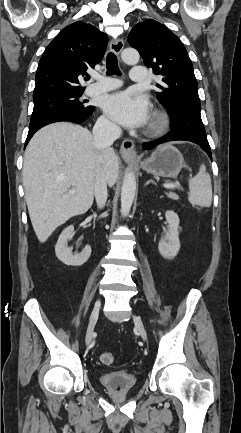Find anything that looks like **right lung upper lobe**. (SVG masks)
I'll return each instance as SVG.
<instances>
[{"instance_id": "cb5924a9", "label": "right lung upper lobe", "mask_w": 241, "mask_h": 433, "mask_svg": "<svg viewBox=\"0 0 241 433\" xmlns=\"http://www.w3.org/2000/svg\"><path fill=\"white\" fill-rule=\"evenodd\" d=\"M108 37L90 24L65 27L47 46L39 61L33 97L56 91H83L81 77L98 64Z\"/></svg>"}]
</instances>
